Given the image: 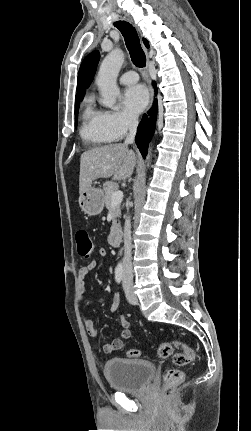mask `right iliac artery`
<instances>
[{
  "label": "right iliac artery",
  "instance_id": "1",
  "mask_svg": "<svg viewBox=\"0 0 251 431\" xmlns=\"http://www.w3.org/2000/svg\"><path fill=\"white\" fill-rule=\"evenodd\" d=\"M123 278V268L121 266H118L115 269V279L117 283H120L122 281Z\"/></svg>",
  "mask_w": 251,
  "mask_h": 431
}]
</instances>
